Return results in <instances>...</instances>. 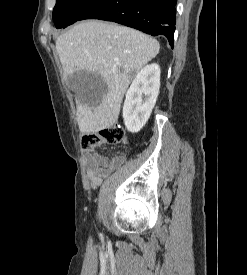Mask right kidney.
Instances as JSON below:
<instances>
[{
    "instance_id": "ca27d5eb",
    "label": "right kidney",
    "mask_w": 247,
    "mask_h": 275,
    "mask_svg": "<svg viewBox=\"0 0 247 275\" xmlns=\"http://www.w3.org/2000/svg\"><path fill=\"white\" fill-rule=\"evenodd\" d=\"M160 88V68L156 63L143 67L126 93L123 119L128 131L136 133L148 121Z\"/></svg>"
}]
</instances>
